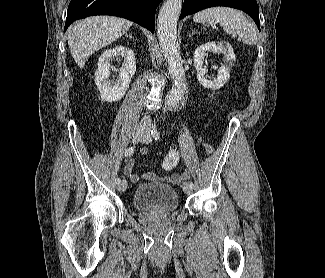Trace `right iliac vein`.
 <instances>
[{
	"instance_id": "right-iliac-vein-1",
	"label": "right iliac vein",
	"mask_w": 325,
	"mask_h": 278,
	"mask_svg": "<svg viewBox=\"0 0 325 278\" xmlns=\"http://www.w3.org/2000/svg\"><path fill=\"white\" fill-rule=\"evenodd\" d=\"M144 134H145V130L143 128H141V127H138L134 131V133L132 135V141H133V143H137L143 137ZM117 188H118V190L120 192H124L126 190V188H127V181L126 180H122L118 184Z\"/></svg>"
}]
</instances>
